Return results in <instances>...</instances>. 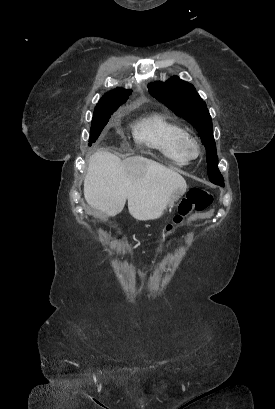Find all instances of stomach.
I'll return each instance as SVG.
<instances>
[{"label":"stomach","mask_w":275,"mask_h":409,"mask_svg":"<svg viewBox=\"0 0 275 409\" xmlns=\"http://www.w3.org/2000/svg\"><path fill=\"white\" fill-rule=\"evenodd\" d=\"M180 194H181L180 188H178V190H175V192H173L170 198V207H172L174 200H177V198H179Z\"/></svg>","instance_id":"stomach-1"}]
</instances>
